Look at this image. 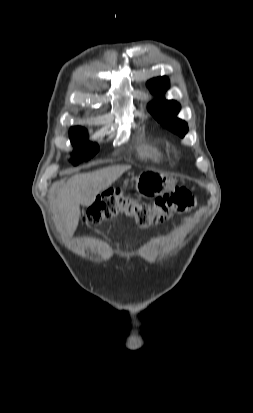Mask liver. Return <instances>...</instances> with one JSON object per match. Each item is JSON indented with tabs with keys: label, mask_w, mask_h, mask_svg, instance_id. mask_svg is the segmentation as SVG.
Masks as SVG:
<instances>
[{
	"label": "liver",
	"mask_w": 253,
	"mask_h": 413,
	"mask_svg": "<svg viewBox=\"0 0 253 413\" xmlns=\"http://www.w3.org/2000/svg\"><path fill=\"white\" fill-rule=\"evenodd\" d=\"M130 166H111L89 173L76 174L59 191L57 211L68 235H73L80 218V204L91 206L98 194L112 185Z\"/></svg>",
	"instance_id": "1"
}]
</instances>
